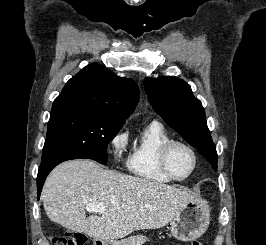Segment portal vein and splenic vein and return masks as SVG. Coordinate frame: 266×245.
<instances>
[{"label":"portal vein and splenic vein","instance_id":"obj_1","mask_svg":"<svg viewBox=\"0 0 266 245\" xmlns=\"http://www.w3.org/2000/svg\"><path fill=\"white\" fill-rule=\"evenodd\" d=\"M86 211H93V213H105L106 207L101 205V203H89L85 207ZM111 211H116V209H111Z\"/></svg>","mask_w":266,"mask_h":245}]
</instances>
